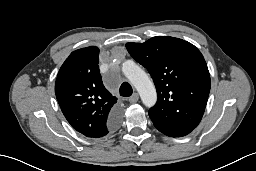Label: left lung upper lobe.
<instances>
[{"label":"left lung upper lobe","instance_id":"obj_1","mask_svg":"<svg viewBox=\"0 0 256 171\" xmlns=\"http://www.w3.org/2000/svg\"><path fill=\"white\" fill-rule=\"evenodd\" d=\"M130 55L149 71L158 100L149 110L154 126L174 137L194 130L210 92V74L201 52L191 43L156 36L144 43H127Z\"/></svg>","mask_w":256,"mask_h":171}]
</instances>
